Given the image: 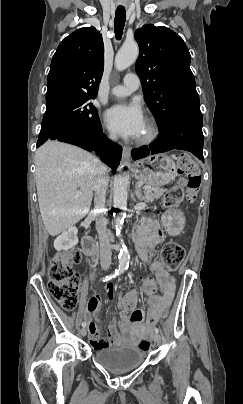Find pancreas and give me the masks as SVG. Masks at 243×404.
Instances as JSON below:
<instances>
[{"mask_svg":"<svg viewBox=\"0 0 243 404\" xmlns=\"http://www.w3.org/2000/svg\"><path fill=\"white\" fill-rule=\"evenodd\" d=\"M164 188H151V190H146L144 200L146 202H150V200H154V198H160V196H163Z\"/></svg>","mask_w":243,"mask_h":404,"instance_id":"pancreas-1","label":"pancreas"}]
</instances>
